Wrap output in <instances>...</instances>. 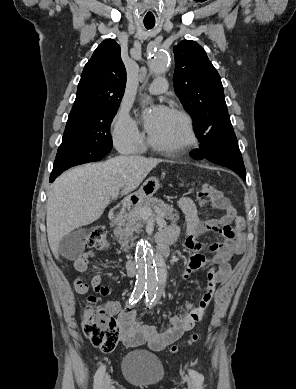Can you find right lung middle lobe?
Instances as JSON below:
<instances>
[{
    "mask_svg": "<svg viewBox=\"0 0 296 389\" xmlns=\"http://www.w3.org/2000/svg\"><path fill=\"white\" fill-rule=\"evenodd\" d=\"M119 106L98 108L68 120L53 169L101 160L112 149L110 124Z\"/></svg>",
    "mask_w": 296,
    "mask_h": 389,
    "instance_id": "right-lung-middle-lobe-1",
    "label": "right lung middle lobe"
}]
</instances>
